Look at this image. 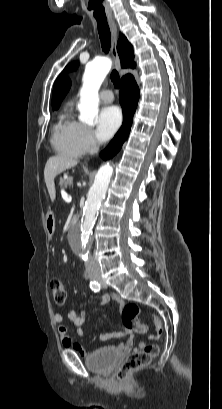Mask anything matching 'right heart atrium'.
I'll use <instances>...</instances> for the list:
<instances>
[{
  "label": "right heart atrium",
  "instance_id": "right-heart-atrium-1",
  "mask_svg": "<svg viewBox=\"0 0 222 409\" xmlns=\"http://www.w3.org/2000/svg\"><path fill=\"white\" fill-rule=\"evenodd\" d=\"M80 140L85 151L87 152H92L97 148V142L93 136L92 131L85 126H81Z\"/></svg>",
  "mask_w": 222,
  "mask_h": 409
}]
</instances>
